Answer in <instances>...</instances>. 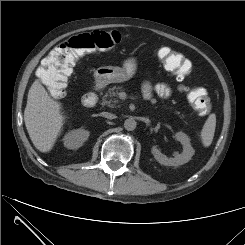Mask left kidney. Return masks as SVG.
<instances>
[{"instance_id": "5707ae66", "label": "left kidney", "mask_w": 245, "mask_h": 245, "mask_svg": "<svg viewBox=\"0 0 245 245\" xmlns=\"http://www.w3.org/2000/svg\"><path fill=\"white\" fill-rule=\"evenodd\" d=\"M175 138L182 144L183 152L176 155L174 158H168L162 154L161 151L153 146L151 152L154 158L162 165L165 166H178L187 163L194 155V149L190 144L189 137L183 132H177Z\"/></svg>"}]
</instances>
